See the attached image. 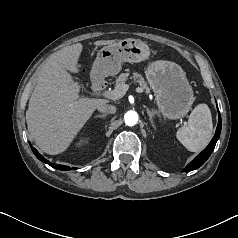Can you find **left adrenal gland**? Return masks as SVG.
Masks as SVG:
<instances>
[{"label":"left adrenal gland","mask_w":238,"mask_h":238,"mask_svg":"<svg viewBox=\"0 0 238 238\" xmlns=\"http://www.w3.org/2000/svg\"><path fill=\"white\" fill-rule=\"evenodd\" d=\"M147 114H148V116H149V119H150V121H151L153 127H155L154 121H153V117L157 114V111H156V110H153V109L150 110V109L147 108Z\"/></svg>","instance_id":"left-adrenal-gland-1"}]
</instances>
